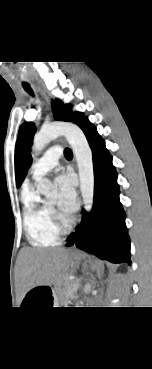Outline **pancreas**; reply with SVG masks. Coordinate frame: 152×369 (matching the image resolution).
Segmentation results:
<instances>
[{"label":"pancreas","mask_w":152,"mask_h":369,"mask_svg":"<svg viewBox=\"0 0 152 369\" xmlns=\"http://www.w3.org/2000/svg\"><path fill=\"white\" fill-rule=\"evenodd\" d=\"M78 287H79L78 281L73 282V284H71V286L68 288V293H67L66 297L67 298H72Z\"/></svg>","instance_id":"1"}]
</instances>
